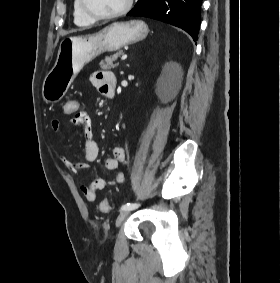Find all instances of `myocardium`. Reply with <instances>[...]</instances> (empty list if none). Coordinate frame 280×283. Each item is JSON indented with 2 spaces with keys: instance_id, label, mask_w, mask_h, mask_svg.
<instances>
[{
  "instance_id": "f54148a6",
  "label": "myocardium",
  "mask_w": 280,
  "mask_h": 283,
  "mask_svg": "<svg viewBox=\"0 0 280 283\" xmlns=\"http://www.w3.org/2000/svg\"><path fill=\"white\" fill-rule=\"evenodd\" d=\"M80 3L82 10L87 17H89L94 21H105V20H113L127 14L133 7L134 0H127L123 8H121L117 12L111 14H105V15L97 14L92 10H90L89 7L87 6L86 0H80Z\"/></svg>"
}]
</instances>
